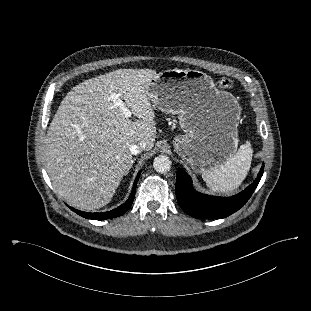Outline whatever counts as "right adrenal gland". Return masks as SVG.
I'll use <instances>...</instances> for the list:
<instances>
[{
	"label": "right adrenal gland",
	"mask_w": 311,
	"mask_h": 311,
	"mask_svg": "<svg viewBox=\"0 0 311 311\" xmlns=\"http://www.w3.org/2000/svg\"><path fill=\"white\" fill-rule=\"evenodd\" d=\"M135 160H136V159H134V160H133V162H134ZM133 162H132V164L128 167V169H127V171H126L125 175H127V174H128V172H129L130 168H131V167H132V165H133Z\"/></svg>",
	"instance_id": "right-adrenal-gland-1"
}]
</instances>
